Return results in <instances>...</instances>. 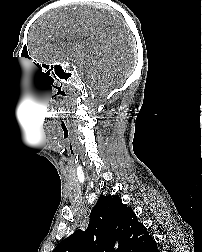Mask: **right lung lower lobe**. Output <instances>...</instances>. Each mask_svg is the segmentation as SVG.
<instances>
[{
	"instance_id": "right-lung-lower-lobe-1",
	"label": "right lung lower lobe",
	"mask_w": 202,
	"mask_h": 252,
	"mask_svg": "<svg viewBox=\"0 0 202 252\" xmlns=\"http://www.w3.org/2000/svg\"><path fill=\"white\" fill-rule=\"evenodd\" d=\"M147 252H160L157 248L156 243H154L151 248L149 250H147Z\"/></svg>"
}]
</instances>
